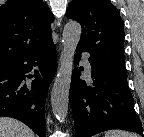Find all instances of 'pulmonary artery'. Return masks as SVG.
I'll return each instance as SVG.
<instances>
[{"mask_svg":"<svg viewBox=\"0 0 144 137\" xmlns=\"http://www.w3.org/2000/svg\"><path fill=\"white\" fill-rule=\"evenodd\" d=\"M84 65H85L86 71L88 73H91V65L89 63V55L88 54H84Z\"/></svg>","mask_w":144,"mask_h":137,"instance_id":"1","label":"pulmonary artery"}]
</instances>
